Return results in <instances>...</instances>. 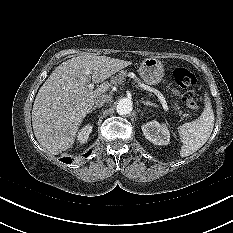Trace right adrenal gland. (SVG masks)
<instances>
[{"instance_id":"obj_1","label":"right adrenal gland","mask_w":233,"mask_h":233,"mask_svg":"<svg viewBox=\"0 0 233 233\" xmlns=\"http://www.w3.org/2000/svg\"><path fill=\"white\" fill-rule=\"evenodd\" d=\"M101 107H102V105H95L94 107L91 108L89 113H92L94 110H96L97 108L100 109Z\"/></svg>"}]
</instances>
